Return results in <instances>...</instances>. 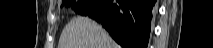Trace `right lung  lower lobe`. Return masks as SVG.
I'll list each match as a JSON object with an SVG mask.
<instances>
[{
  "label": "right lung lower lobe",
  "instance_id": "1",
  "mask_svg": "<svg viewBox=\"0 0 213 48\" xmlns=\"http://www.w3.org/2000/svg\"><path fill=\"white\" fill-rule=\"evenodd\" d=\"M156 0H96L85 15L93 18L123 48H146Z\"/></svg>",
  "mask_w": 213,
  "mask_h": 48
}]
</instances>
